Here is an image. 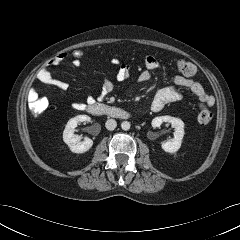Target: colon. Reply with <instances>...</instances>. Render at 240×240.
Here are the masks:
<instances>
[{
  "instance_id": "5ec220e1",
  "label": "colon",
  "mask_w": 240,
  "mask_h": 240,
  "mask_svg": "<svg viewBox=\"0 0 240 240\" xmlns=\"http://www.w3.org/2000/svg\"><path fill=\"white\" fill-rule=\"evenodd\" d=\"M64 54L66 59L69 60L75 67H79L86 56V53L82 48L71 49ZM177 69L186 76H192L196 72L195 66L187 60H180L177 63ZM47 106L48 102L45 98H38L29 101L30 111L35 116L41 115L46 110ZM197 119L201 125H207L211 122L212 113L206 105H200Z\"/></svg>"
}]
</instances>
